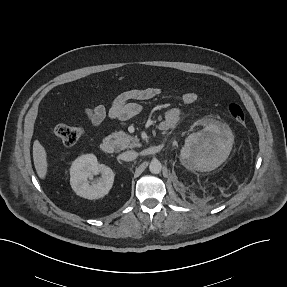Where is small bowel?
<instances>
[{
  "label": "small bowel",
  "instance_id": "obj_1",
  "mask_svg": "<svg viewBox=\"0 0 287 287\" xmlns=\"http://www.w3.org/2000/svg\"><path fill=\"white\" fill-rule=\"evenodd\" d=\"M161 92V88L157 86L126 90L111 101L108 109L104 105H94L88 107L85 113L90 123L95 127L100 126L107 117L115 120H127L140 112L141 102L154 99ZM196 100L197 95L195 92L187 91L182 94V101L185 105H192ZM179 119V109L170 108L165 112L159 128L169 130L178 123Z\"/></svg>",
  "mask_w": 287,
  "mask_h": 287
}]
</instances>
